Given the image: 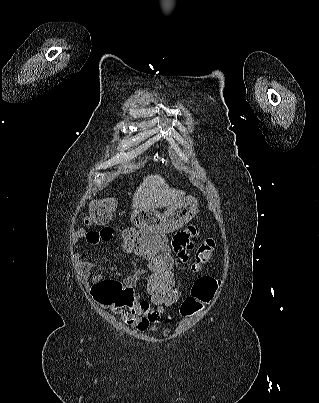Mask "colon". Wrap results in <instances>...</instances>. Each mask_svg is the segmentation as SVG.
Segmentation results:
<instances>
[{
  "label": "colon",
  "mask_w": 319,
  "mask_h": 403,
  "mask_svg": "<svg viewBox=\"0 0 319 403\" xmlns=\"http://www.w3.org/2000/svg\"><path fill=\"white\" fill-rule=\"evenodd\" d=\"M114 202L113 197H94L86 222L105 223L112 213ZM122 239L124 243H129L127 257L131 258L132 254H137L138 260H144V268H150L146 273L149 279L146 286L149 303L162 304L163 312L171 313L178 303L179 291L173 269L178 267V262L168 252L169 234H142L140 229H131ZM213 254L215 245H212L211 241L202 242L192 250V267L188 268V275L195 276L191 290L193 296H183L181 308L175 310L176 317H181L183 325H191L192 317L209 307L212 298L210 294L218 288L217 277L202 276L204 270H209Z\"/></svg>",
  "instance_id": "obj_1"
}]
</instances>
